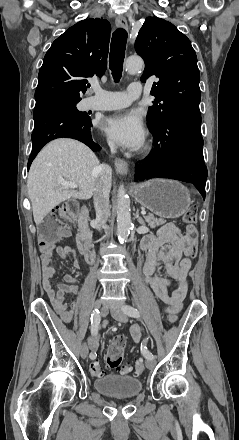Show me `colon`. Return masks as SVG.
Returning a JSON list of instances; mask_svg holds the SVG:
<instances>
[{
	"mask_svg": "<svg viewBox=\"0 0 239 440\" xmlns=\"http://www.w3.org/2000/svg\"><path fill=\"white\" fill-rule=\"evenodd\" d=\"M78 206L75 202H68L66 204L56 207L50 215H48L39 229V242L40 247H48L54 244L63 234V223L60 218L69 220L77 213ZM186 224L187 237L196 244L198 232L195 227L197 220V207L195 205L190 206L183 217ZM196 254V247L192 248V256ZM177 316L172 313L168 317L170 324L175 323ZM126 347V340L123 336H116L108 346L106 352V364L112 370L120 371L123 374L131 372V367L128 365L122 366V359ZM145 366L143 361H137L135 364V373L137 376L143 374ZM89 371L94 376H100L103 373L102 367L97 362H91L89 365Z\"/></svg>",
	"mask_w": 239,
	"mask_h": 440,
	"instance_id": "colon-1",
	"label": "colon"
}]
</instances>
